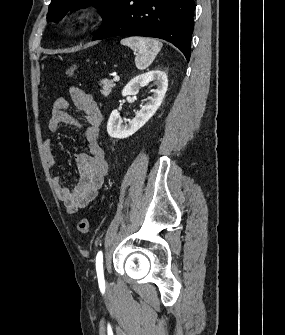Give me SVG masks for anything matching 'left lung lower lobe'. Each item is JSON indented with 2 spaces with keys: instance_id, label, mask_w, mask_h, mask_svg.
Returning a JSON list of instances; mask_svg holds the SVG:
<instances>
[{
  "instance_id": "obj_1",
  "label": "left lung lower lobe",
  "mask_w": 285,
  "mask_h": 335,
  "mask_svg": "<svg viewBox=\"0 0 285 335\" xmlns=\"http://www.w3.org/2000/svg\"><path fill=\"white\" fill-rule=\"evenodd\" d=\"M194 0H118L93 40L119 35L164 39L189 61Z\"/></svg>"
}]
</instances>
